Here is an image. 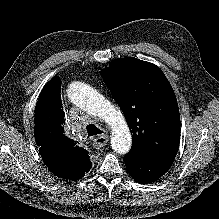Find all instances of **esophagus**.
<instances>
[{
    "label": "esophagus",
    "mask_w": 219,
    "mask_h": 219,
    "mask_svg": "<svg viewBox=\"0 0 219 219\" xmlns=\"http://www.w3.org/2000/svg\"><path fill=\"white\" fill-rule=\"evenodd\" d=\"M108 142V136L107 135H99L94 138L93 141V147L94 148H101L105 146Z\"/></svg>",
    "instance_id": "1"
}]
</instances>
